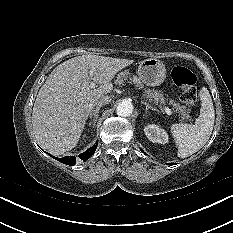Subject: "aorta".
Instances as JSON below:
<instances>
[{"instance_id": "aorta-1", "label": "aorta", "mask_w": 233, "mask_h": 233, "mask_svg": "<svg viewBox=\"0 0 233 233\" xmlns=\"http://www.w3.org/2000/svg\"><path fill=\"white\" fill-rule=\"evenodd\" d=\"M132 112H133V105L128 100H123L122 102H120L116 109L117 115L121 117H128L132 114Z\"/></svg>"}]
</instances>
